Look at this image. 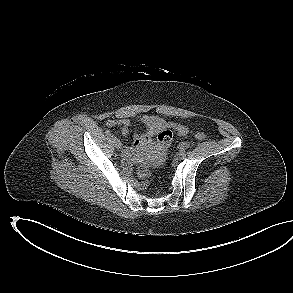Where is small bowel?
I'll return each mask as SVG.
<instances>
[{"instance_id":"small-bowel-1","label":"small bowel","mask_w":293,"mask_h":293,"mask_svg":"<svg viewBox=\"0 0 293 293\" xmlns=\"http://www.w3.org/2000/svg\"><path fill=\"white\" fill-rule=\"evenodd\" d=\"M140 121L145 126V132L141 133H132L130 134L131 140L135 146L143 145L150 141V139L157 135L160 131L164 129H172L179 136H186L188 134V128L182 124L165 120L159 116L155 115H143L140 118ZM107 126H121V132L123 135L129 134V125L130 120L125 118L112 119L106 122Z\"/></svg>"}]
</instances>
